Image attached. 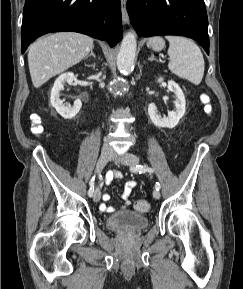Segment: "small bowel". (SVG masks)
I'll list each match as a JSON object with an SVG mask.
<instances>
[{"mask_svg":"<svg viewBox=\"0 0 243 289\" xmlns=\"http://www.w3.org/2000/svg\"><path fill=\"white\" fill-rule=\"evenodd\" d=\"M122 178V174L119 171H112L110 172L106 177V185H109L114 180H119ZM137 186V182L134 180H130L125 183L124 190L122 193V199L124 200L123 208H126L130 205L129 196L132 192V190ZM110 199V195L108 193H104L102 195L103 203L100 205V210L107 213H112L115 211V208L110 205H106L105 202H107Z\"/></svg>","mask_w":243,"mask_h":289,"instance_id":"c3829d8e","label":"small bowel"}]
</instances>
